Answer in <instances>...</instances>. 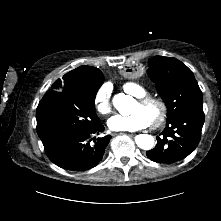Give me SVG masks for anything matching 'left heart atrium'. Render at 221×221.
Wrapping results in <instances>:
<instances>
[{"label": "left heart atrium", "mask_w": 221, "mask_h": 221, "mask_svg": "<svg viewBox=\"0 0 221 221\" xmlns=\"http://www.w3.org/2000/svg\"><path fill=\"white\" fill-rule=\"evenodd\" d=\"M149 125V119L140 111L127 116L116 115L108 121V127L112 131H137Z\"/></svg>", "instance_id": "left-heart-atrium-1"}]
</instances>
